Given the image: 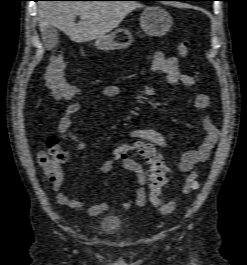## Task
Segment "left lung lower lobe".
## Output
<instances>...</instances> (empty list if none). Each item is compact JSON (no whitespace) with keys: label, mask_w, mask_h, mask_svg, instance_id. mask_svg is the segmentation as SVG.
Here are the masks:
<instances>
[{"label":"left lung lower lobe","mask_w":247,"mask_h":265,"mask_svg":"<svg viewBox=\"0 0 247 265\" xmlns=\"http://www.w3.org/2000/svg\"><path fill=\"white\" fill-rule=\"evenodd\" d=\"M142 1H161V0H142ZM166 1H202V0H166Z\"/></svg>","instance_id":"1"}]
</instances>
